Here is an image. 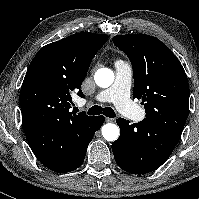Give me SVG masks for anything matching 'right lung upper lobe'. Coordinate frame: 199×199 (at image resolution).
Returning <instances> with one entry per match:
<instances>
[{"mask_svg": "<svg viewBox=\"0 0 199 199\" xmlns=\"http://www.w3.org/2000/svg\"><path fill=\"white\" fill-rule=\"evenodd\" d=\"M108 35L76 33L42 47L33 58L20 92L25 131L37 130L50 140L49 153L62 145L94 116L69 112L71 93L80 90L91 61Z\"/></svg>", "mask_w": 199, "mask_h": 199, "instance_id": "1", "label": "right lung upper lobe"}]
</instances>
